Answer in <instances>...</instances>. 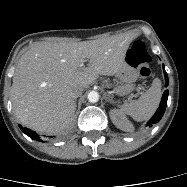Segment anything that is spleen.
Returning a JSON list of instances; mask_svg holds the SVG:
<instances>
[{"label":"spleen","mask_w":187,"mask_h":187,"mask_svg":"<svg viewBox=\"0 0 187 187\" xmlns=\"http://www.w3.org/2000/svg\"><path fill=\"white\" fill-rule=\"evenodd\" d=\"M161 95V81L156 78L153 80L151 87L138 100L125 102L120 106V111L136 121L146 120L155 113L160 103Z\"/></svg>","instance_id":"1"}]
</instances>
